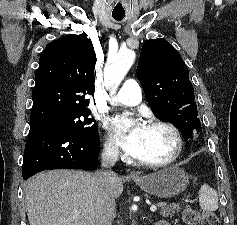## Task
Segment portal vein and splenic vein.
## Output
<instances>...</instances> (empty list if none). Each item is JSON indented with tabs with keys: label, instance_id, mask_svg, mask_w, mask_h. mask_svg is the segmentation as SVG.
<instances>
[{
	"label": "portal vein and splenic vein",
	"instance_id": "18ae733b",
	"mask_svg": "<svg viewBox=\"0 0 237 225\" xmlns=\"http://www.w3.org/2000/svg\"><path fill=\"white\" fill-rule=\"evenodd\" d=\"M156 210H157L156 205H152V206L150 207V211H151V212H155Z\"/></svg>",
	"mask_w": 237,
	"mask_h": 225
}]
</instances>
